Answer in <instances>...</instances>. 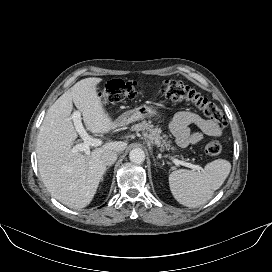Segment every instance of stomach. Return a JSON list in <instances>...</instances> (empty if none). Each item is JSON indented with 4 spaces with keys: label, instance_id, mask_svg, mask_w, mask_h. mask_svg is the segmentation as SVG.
Here are the masks:
<instances>
[{
    "label": "stomach",
    "instance_id": "obj_1",
    "mask_svg": "<svg viewBox=\"0 0 272 272\" xmlns=\"http://www.w3.org/2000/svg\"><path fill=\"white\" fill-rule=\"evenodd\" d=\"M159 116L158 108L153 105H141L133 110L126 111L118 117L116 123L118 126H124L140 119Z\"/></svg>",
    "mask_w": 272,
    "mask_h": 272
}]
</instances>
